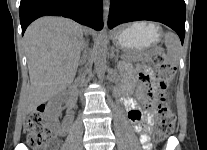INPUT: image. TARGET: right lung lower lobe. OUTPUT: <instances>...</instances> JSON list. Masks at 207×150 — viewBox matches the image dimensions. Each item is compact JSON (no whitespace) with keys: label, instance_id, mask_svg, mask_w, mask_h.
I'll use <instances>...</instances> for the list:
<instances>
[{"label":"right lung lower lobe","instance_id":"obj_1","mask_svg":"<svg viewBox=\"0 0 207 150\" xmlns=\"http://www.w3.org/2000/svg\"><path fill=\"white\" fill-rule=\"evenodd\" d=\"M20 23L22 34L35 19L63 16L95 30L102 28V0H21Z\"/></svg>","mask_w":207,"mask_h":150}]
</instances>
